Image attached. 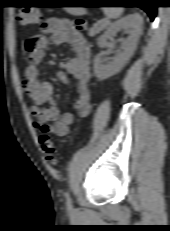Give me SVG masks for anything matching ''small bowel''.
I'll return each instance as SVG.
<instances>
[{
    "mask_svg": "<svg viewBox=\"0 0 170 231\" xmlns=\"http://www.w3.org/2000/svg\"><path fill=\"white\" fill-rule=\"evenodd\" d=\"M42 30L50 35L51 41L56 45L68 43L75 56L62 63L63 70L78 81V98L74 109L79 117H86L91 111L92 74L90 70L91 50L86 38L67 19L49 18ZM37 46L29 55L24 70L23 87L31 98V114L34 117V126L42 133H53L59 137L69 133L74 123V115L70 112L59 113L53 97V86L39 75V65L45 57L48 40L43 36L32 37ZM58 78L68 82L64 72L58 73Z\"/></svg>",
    "mask_w": 170,
    "mask_h": 231,
    "instance_id": "c3829d8e",
    "label": "small bowel"
}]
</instances>
